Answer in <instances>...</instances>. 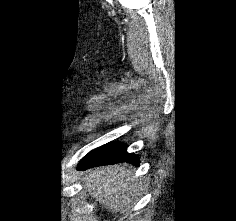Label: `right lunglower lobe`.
Instances as JSON below:
<instances>
[{"mask_svg":"<svg viewBox=\"0 0 236 221\" xmlns=\"http://www.w3.org/2000/svg\"><path fill=\"white\" fill-rule=\"evenodd\" d=\"M129 162L138 164L136 155L127 153L126 145L120 142L108 143L89 152L79 163L78 169L85 170L94 166Z\"/></svg>","mask_w":236,"mask_h":221,"instance_id":"obj_1","label":"right lung lower lobe"}]
</instances>
